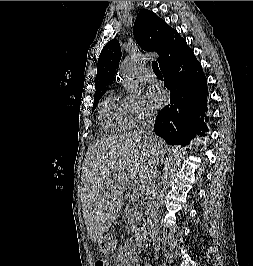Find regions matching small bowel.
I'll use <instances>...</instances> for the list:
<instances>
[{
	"instance_id": "obj_1",
	"label": "small bowel",
	"mask_w": 253,
	"mask_h": 266,
	"mask_svg": "<svg viewBox=\"0 0 253 266\" xmlns=\"http://www.w3.org/2000/svg\"><path fill=\"white\" fill-rule=\"evenodd\" d=\"M130 266H138V265L135 262H130ZM143 266H150V265H143Z\"/></svg>"
}]
</instances>
